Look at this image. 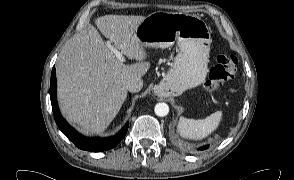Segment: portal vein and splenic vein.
Instances as JSON below:
<instances>
[{
  "label": "portal vein and splenic vein",
  "instance_id": "18ae733b",
  "mask_svg": "<svg viewBox=\"0 0 294 180\" xmlns=\"http://www.w3.org/2000/svg\"><path fill=\"white\" fill-rule=\"evenodd\" d=\"M106 46L113 52V54L116 56V58L121 61L124 62L125 58L122 54V52L118 51L114 46L111 45V42L107 41Z\"/></svg>",
  "mask_w": 294,
  "mask_h": 180
}]
</instances>
